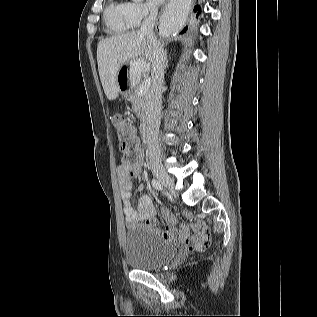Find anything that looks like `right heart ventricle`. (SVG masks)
<instances>
[{"instance_id": "obj_1", "label": "right heart ventricle", "mask_w": 317, "mask_h": 317, "mask_svg": "<svg viewBox=\"0 0 317 317\" xmlns=\"http://www.w3.org/2000/svg\"><path fill=\"white\" fill-rule=\"evenodd\" d=\"M104 19L110 33L121 34L134 26L128 14L127 4L121 0H111L105 8Z\"/></svg>"}]
</instances>
